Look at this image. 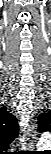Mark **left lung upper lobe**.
<instances>
[{"label": "left lung upper lobe", "mask_w": 51, "mask_h": 154, "mask_svg": "<svg viewBox=\"0 0 51 154\" xmlns=\"http://www.w3.org/2000/svg\"><path fill=\"white\" fill-rule=\"evenodd\" d=\"M43 121H45L44 117L40 116V118H39V125H40L39 130L40 131H44V129L46 128V126L43 124Z\"/></svg>", "instance_id": "1"}]
</instances>
